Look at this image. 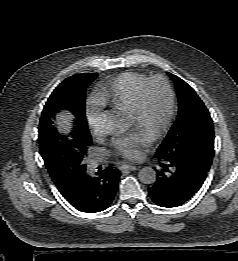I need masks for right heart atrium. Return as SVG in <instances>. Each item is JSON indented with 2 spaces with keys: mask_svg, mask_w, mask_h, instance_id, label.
Wrapping results in <instances>:
<instances>
[{
  "mask_svg": "<svg viewBox=\"0 0 238 261\" xmlns=\"http://www.w3.org/2000/svg\"><path fill=\"white\" fill-rule=\"evenodd\" d=\"M88 125L95 136L103 134L101 113L96 107H90L86 113Z\"/></svg>",
  "mask_w": 238,
  "mask_h": 261,
  "instance_id": "1",
  "label": "right heart atrium"
}]
</instances>
